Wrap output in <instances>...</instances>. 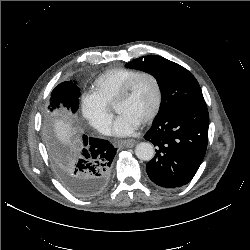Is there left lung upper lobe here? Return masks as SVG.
<instances>
[{
	"mask_svg": "<svg viewBox=\"0 0 250 250\" xmlns=\"http://www.w3.org/2000/svg\"><path fill=\"white\" fill-rule=\"evenodd\" d=\"M126 67L148 72L156 78L162 100L155 119L165 117L182 106L204 101L195 77L181 65L161 56H143L127 63Z\"/></svg>",
	"mask_w": 250,
	"mask_h": 250,
	"instance_id": "left-lung-upper-lobe-1",
	"label": "left lung upper lobe"
}]
</instances>
